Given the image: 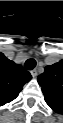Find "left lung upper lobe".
<instances>
[{"label":"left lung upper lobe","instance_id":"1","mask_svg":"<svg viewBox=\"0 0 63 123\" xmlns=\"http://www.w3.org/2000/svg\"><path fill=\"white\" fill-rule=\"evenodd\" d=\"M45 101L49 107L61 112L63 106V67L60 62L45 67L44 73L38 76Z\"/></svg>","mask_w":63,"mask_h":123}]
</instances>
